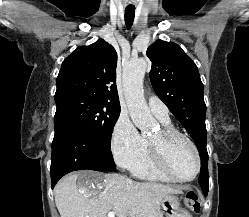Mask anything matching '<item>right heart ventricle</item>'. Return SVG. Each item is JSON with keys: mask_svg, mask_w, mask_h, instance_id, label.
Instances as JSON below:
<instances>
[{"mask_svg": "<svg viewBox=\"0 0 249 217\" xmlns=\"http://www.w3.org/2000/svg\"><path fill=\"white\" fill-rule=\"evenodd\" d=\"M166 127H171L169 121L162 122ZM134 176L150 181L158 182H173L163 173H161L155 166L151 153L149 143L146 142V146L140 157L130 167Z\"/></svg>", "mask_w": 249, "mask_h": 217, "instance_id": "1", "label": "right heart ventricle"}]
</instances>
